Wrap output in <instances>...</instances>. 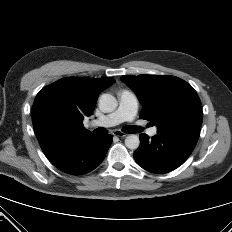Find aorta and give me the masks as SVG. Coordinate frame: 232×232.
Segmentation results:
<instances>
[{
    "label": "aorta",
    "instance_id": "obj_1",
    "mask_svg": "<svg viewBox=\"0 0 232 232\" xmlns=\"http://www.w3.org/2000/svg\"><path fill=\"white\" fill-rule=\"evenodd\" d=\"M118 106V102L111 94H102L99 98V108L104 113L113 112ZM125 145L131 150H135L140 145L139 137L135 134L128 135L125 139Z\"/></svg>",
    "mask_w": 232,
    "mask_h": 232
}]
</instances>
